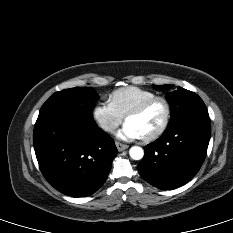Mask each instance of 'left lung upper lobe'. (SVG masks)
Returning a JSON list of instances; mask_svg holds the SVG:
<instances>
[{"instance_id":"1","label":"left lung upper lobe","mask_w":233,"mask_h":233,"mask_svg":"<svg viewBox=\"0 0 233 233\" xmlns=\"http://www.w3.org/2000/svg\"><path fill=\"white\" fill-rule=\"evenodd\" d=\"M153 87L165 90L171 88L172 85H153ZM166 98L171 109V118L168 127L192 117H209L204 102L194 92L178 87L177 90L168 92Z\"/></svg>"}]
</instances>
